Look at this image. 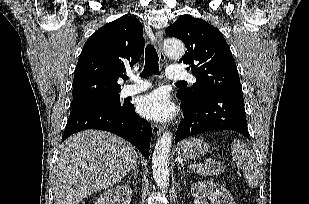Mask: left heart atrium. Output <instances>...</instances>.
<instances>
[{"mask_svg":"<svg viewBox=\"0 0 309 204\" xmlns=\"http://www.w3.org/2000/svg\"><path fill=\"white\" fill-rule=\"evenodd\" d=\"M137 108L142 116L158 122L169 120L175 112L169 95L162 90H157L141 97Z\"/></svg>","mask_w":309,"mask_h":204,"instance_id":"39dd6f15","label":"left heart atrium"}]
</instances>
